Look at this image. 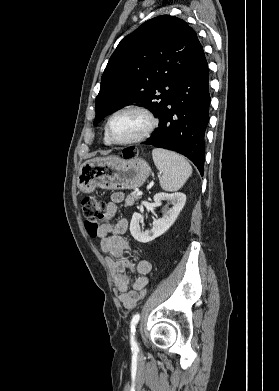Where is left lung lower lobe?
Here are the masks:
<instances>
[{
	"instance_id": "left-lung-lower-lobe-1",
	"label": "left lung lower lobe",
	"mask_w": 279,
	"mask_h": 391,
	"mask_svg": "<svg viewBox=\"0 0 279 391\" xmlns=\"http://www.w3.org/2000/svg\"><path fill=\"white\" fill-rule=\"evenodd\" d=\"M209 75L202 51L177 85L159 117V127L144 144L176 151L204 171V135L209 122Z\"/></svg>"
}]
</instances>
